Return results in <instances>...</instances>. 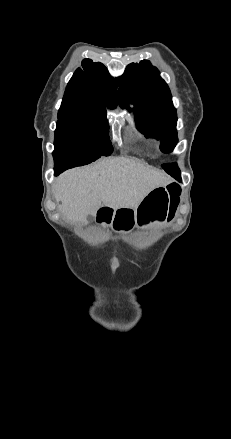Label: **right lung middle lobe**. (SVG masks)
Instances as JSON below:
<instances>
[{
    "instance_id": "obj_1",
    "label": "right lung middle lobe",
    "mask_w": 231,
    "mask_h": 439,
    "mask_svg": "<svg viewBox=\"0 0 231 439\" xmlns=\"http://www.w3.org/2000/svg\"><path fill=\"white\" fill-rule=\"evenodd\" d=\"M106 110H59L53 157L55 166L71 168L109 156L113 147Z\"/></svg>"
}]
</instances>
